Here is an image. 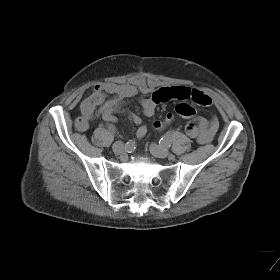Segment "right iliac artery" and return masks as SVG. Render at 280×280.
<instances>
[{"label": "right iliac artery", "mask_w": 280, "mask_h": 280, "mask_svg": "<svg viewBox=\"0 0 280 280\" xmlns=\"http://www.w3.org/2000/svg\"><path fill=\"white\" fill-rule=\"evenodd\" d=\"M108 129L115 133V127L113 125H108ZM136 148V144H135V141L133 140H129L126 144H125V151L128 152V153H131L135 150Z\"/></svg>", "instance_id": "1"}]
</instances>
